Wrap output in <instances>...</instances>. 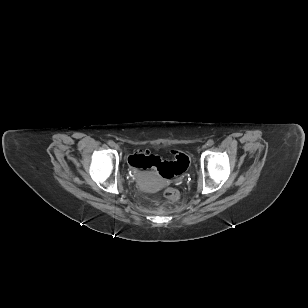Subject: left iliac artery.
Listing matches in <instances>:
<instances>
[{"mask_svg":"<svg viewBox=\"0 0 308 308\" xmlns=\"http://www.w3.org/2000/svg\"><path fill=\"white\" fill-rule=\"evenodd\" d=\"M214 144V141L212 139L208 140L207 141V145L208 146H212Z\"/></svg>","mask_w":308,"mask_h":308,"instance_id":"left-iliac-artery-1","label":"left iliac artery"}]
</instances>
